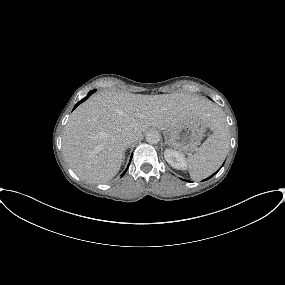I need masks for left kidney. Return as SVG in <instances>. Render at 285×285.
Masks as SVG:
<instances>
[{"instance_id":"1","label":"left kidney","mask_w":285,"mask_h":285,"mask_svg":"<svg viewBox=\"0 0 285 285\" xmlns=\"http://www.w3.org/2000/svg\"><path fill=\"white\" fill-rule=\"evenodd\" d=\"M164 157L167 163L175 169L185 170L187 167L184 155L178 151L166 149Z\"/></svg>"}]
</instances>
